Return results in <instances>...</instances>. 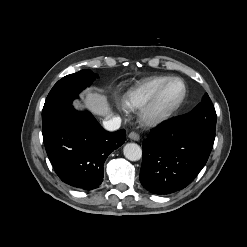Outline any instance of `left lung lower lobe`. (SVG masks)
<instances>
[{"instance_id": "left-lung-lower-lobe-1", "label": "left lung lower lobe", "mask_w": 247, "mask_h": 247, "mask_svg": "<svg viewBox=\"0 0 247 247\" xmlns=\"http://www.w3.org/2000/svg\"><path fill=\"white\" fill-rule=\"evenodd\" d=\"M180 119L164 122L143 142L140 181L154 194H170L189 185L212 150L214 131L184 127Z\"/></svg>"}]
</instances>
